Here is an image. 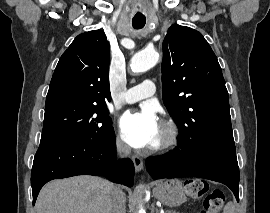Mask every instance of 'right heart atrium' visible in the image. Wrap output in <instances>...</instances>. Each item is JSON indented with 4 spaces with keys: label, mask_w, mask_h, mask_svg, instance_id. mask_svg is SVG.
<instances>
[{
    "label": "right heart atrium",
    "mask_w": 270,
    "mask_h": 213,
    "mask_svg": "<svg viewBox=\"0 0 270 213\" xmlns=\"http://www.w3.org/2000/svg\"><path fill=\"white\" fill-rule=\"evenodd\" d=\"M115 148L121 154H125L127 152V147L118 137L115 139Z\"/></svg>",
    "instance_id": "d8ad5b80"
}]
</instances>
